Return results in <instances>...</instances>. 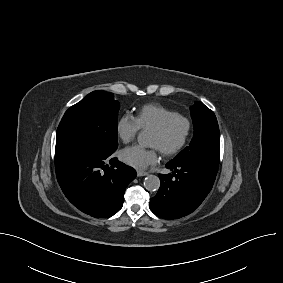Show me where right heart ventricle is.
I'll return each mask as SVG.
<instances>
[{
  "instance_id": "e07e8e85",
  "label": "right heart ventricle",
  "mask_w": 283,
  "mask_h": 283,
  "mask_svg": "<svg viewBox=\"0 0 283 283\" xmlns=\"http://www.w3.org/2000/svg\"><path fill=\"white\" fill-rule=\"evenodd\" d=\"M175 114L178 113L161 104L150 103L138 109L135 118L140 129L152 130L159 126L165 119Z\"/></svg>"
}]
</instances>
